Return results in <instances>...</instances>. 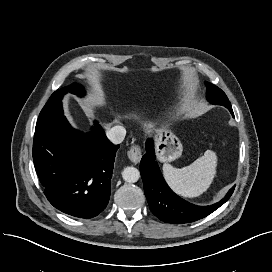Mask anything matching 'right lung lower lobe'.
Instances as JSON below:
<instances>
[{"mask_svg": "<svg viewBox=\"0 0 272 272\" xmlns=\"http://www.w3.org/2000/svg\"><path fill=\"white\" fill-rule=\"evenodd\" d=\"M118 148L98 124L88 133L73 129L65 117L36 124L33 161L49 202L78 218L101 213Z\"/></svg>", "mask_w": 272, "mask_h": 272, "instance_id": "right-lung-lower-lobe-1", "label": "right lung lower lobe"}]
</instances>
